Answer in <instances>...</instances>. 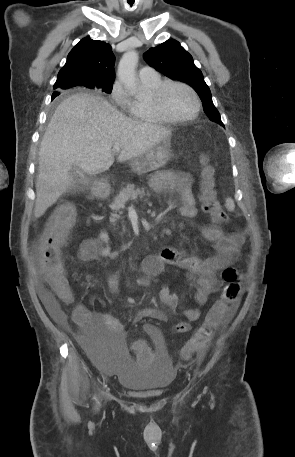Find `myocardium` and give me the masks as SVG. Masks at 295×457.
Wrapping results in <instances>:
<instances>
[{
    "label": "myocardium",
    "mask_w": 295,
    "mask_h": 457,
    "mask_svg": "<svg viewBox=\"0 0 295 457\" xmlns=\"http://www.w3.org/2000/svg\"><path fill=\"white\" fill-rule=\"evenodd\" d=\"M171 86H179L182 88H185L188 90L195 102V108L194 111L185 117H174L171 116L165 109V104H164V96L166 91L168 90L169 87ZM151 102L152 106L155 110V112L158 114L160 118H162L165 122L169 123H183L187 121H191L195 119L201 110V101L200 98L197 94V92L188 84L180 82V81H174V80H165L162 83H160L152 92L151 95Z\"/></svg>",
    "instance_id": "myocardium-1"
}]
</instances>
